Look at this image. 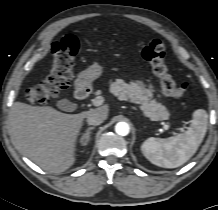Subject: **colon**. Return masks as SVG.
Wrapping results in <instances>:
<instances>
[{"label":"colon","instance_id":"obj_1","mask_svg":"<svg viewBox=\"0 0 218 210\" xmlns=\"http://www.w3.org/2000/svg\"><path fill=\"white\" fill-rule=\"evenodd\" d=\"M53 51L54 63L49 75L25 93V98L30 103H46L58 96L70 83L74 58L78 52V40L67 35L55 43ZM142 57L159 79L164 94L175 99H182L186 95L188 84H177L168 71L165 64V45L161 40L150 41L143 49Z\"/></svg>","mask_w":218,"mask_h":210}]
</instances>
